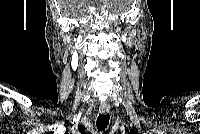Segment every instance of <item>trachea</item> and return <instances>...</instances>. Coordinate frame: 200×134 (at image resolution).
<instances>
[{"label":"trachea","mask_w":200,"mask_h":134,"mask_svg":"<svg viewBox=\"0 0 200 134\" xmlns=\"http://www.w3.org/2000/svg\"><path fill=\"white\" fill-rule=\"evenodd\" d=\"M109 123V114L102 115L100 114L96 121V126L99 131H103L107 128Z\"/></svg>","instance_id":"trachea-1"}]
</instances>
